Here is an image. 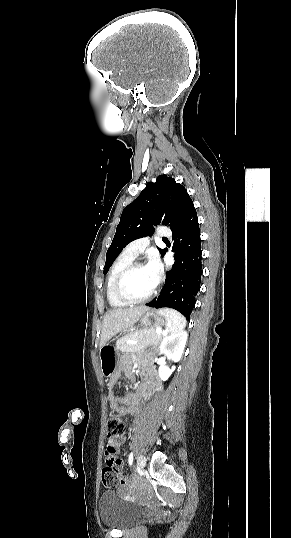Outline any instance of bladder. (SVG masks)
<instances>
[{
    "label": "bladder",
    "instance_id": "1",
    "mask_svg": "<svg viewBox=\"0 0 291 538\" xmlns=\"http://www.w3.org/2000/svg\"><path fill=\"white\" fill-rule=\"evenodd\" d=\"M98 511L103 524L121 530L132 525L141 514L138 506L121 499L114 490L100 497Z\"/></svg>",
    "mask_w": 291,
    "mask_h": 538
}]
</instances>
